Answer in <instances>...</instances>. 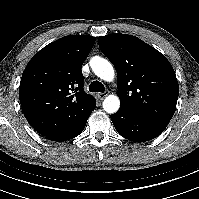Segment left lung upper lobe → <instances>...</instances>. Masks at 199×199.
<instances>
[{
    "label": "left lung upper lobe",
    "mask_w": 199,
    "mask_h": 199,
    "mask_svg": "<svg viewBox=\"0 0 199 199\" xmlns=\"http://www.w3.org/2000/svg\"><path fill=\"white\" fill-rule=\"evenodd\" d=\"M102 53L118 73L121 106L167 126L176 109L179 85L170 62L141 39L126 34L98 37Z\"/></svg>",
    "instance_id": "5c2ea615"
}]
</instances>
